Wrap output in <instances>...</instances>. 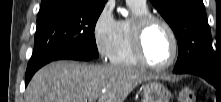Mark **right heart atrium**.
Listing matches in <instances>:
<instances>
[{"label": "right heart atrium", "mask_w": 221, "mask_h": 102, "mask_svg": "<svg viewBox=\"0 0 221 102\" xmlns=\"http://www.w3.org/2000/svg\"><path fill=\"white\" fill-rule=\"evenodd\" d=\"M118 21L112 7L106 4L98 13L92 26V37L97 53L103 59L111 58L117 40Z\"/></svg>", "instance_id": "d8ad5b80"}]
</instances>
